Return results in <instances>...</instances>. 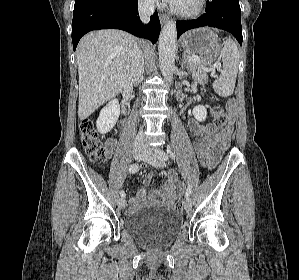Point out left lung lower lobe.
I'll return each mask as SVG.
<instances>
[{"label":"left lung lower lobe","instance_id":"0a47b994","mask_svg":"<svg viewBox=\"0 0 299 280\" xmlns=\"http://www.w3.org/2000/svg\"><path fill=\"white\" fill-rule=\"evenodd\" d=\"M240 11L239 0H207L205 12L198 19L176 23L177 38L187 30L210 26L232 33L242 45Z\"/></svg>","mask_w":299,"mask_h":280}]
</instances>
